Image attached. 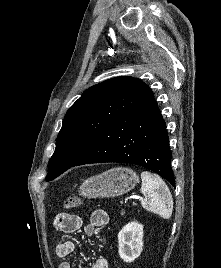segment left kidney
Returning a JSON list of instances; mask_svg holds the SVG:
<instances>
[{
  "mask_svg": "<svg viewBox=\"0 0 221 268\" xmlns=\"http://www.w3.org/2000/svg\"><path fill=\"white\" fill-rule=\"evenodd\" d=\"M143 250V225L131 222L118 233V253L125 262H133Z\"/></svg>",
  "mask_w": 221,
  "mask_h": 268,
  "instance_id": "5707ae66",
  "label": "left kidney"
}]
</instances>
